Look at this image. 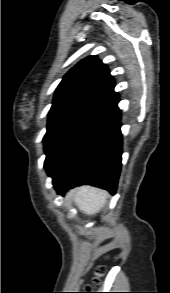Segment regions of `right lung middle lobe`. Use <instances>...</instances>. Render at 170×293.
Returning a JSON list of instances; mask_svg holds the SVG:
<instances>
[{"label":"right lung middle lobe","mask_w":170,"mask_h":293,"mask_svg":"<svg viewBox=\"0 0 170 293\" xmlns=\"http://www.w3.org/2000/svg\"><path fill=\"white\" fill-rule=\"evenodd\" d=\"M111 109L74 107L48 118L44 137L45 169L54 177L89 138Z\"/></svg>","instance_id":"dd1d6c3e"}]
</instances>
